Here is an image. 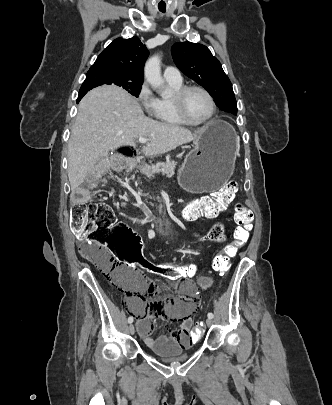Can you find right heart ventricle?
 I'll return each mask as SVG.
<instances>
[{
	"mask_svg": "<svg viewBox=\"0 0 332 405\" xmlns=\"http://www.w3.org/2000/svg\"><path fill=\"white\" fill-rule=\"evenodd\" d=\"M173 92L183 87L182 82L167 81ZM156 119L164 124L182 125L184 124L177 116L172 97H162L158 99V109L155 114Z\"/></svg>",
	"mask_w": 332,
	"mask_h": 405,
	"instance_id": "right-heart-ventricle-1",
	"label": "right heart ventricle"
}]
</instances>
